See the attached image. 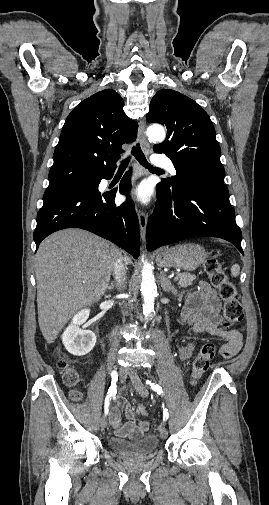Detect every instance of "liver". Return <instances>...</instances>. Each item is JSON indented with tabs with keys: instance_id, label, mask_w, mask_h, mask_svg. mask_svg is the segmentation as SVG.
Returning a JSON list of instances; mask_svg holds the SVG:
<instances>
[{
	"instance_id": "liver-1",
	"label": "liver",
	"mask_w": 269,
	"mask_h": 505,
	"mask_svg": "<svg viewBox=\"0 0 269 505\" xmlns=\"http://www.w3.org/2000/svg\"><path fill=\"white\" fill-rule=\"evenodd\" d=\"M121 254L111 242L81 229L61 230L42 241L35 273L38 322L48 343L79 309L101 299Z\"/></svg>"
}]
</instances>
